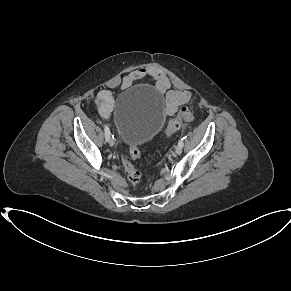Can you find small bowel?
Returning a JSON list of instances; mask_svg holds the SVG:
<instances>
[{"instance_id": "c3829d8e", "label": "small bowel", "mask_w": 291, "mask_h": 291, "mask_svg": "<svg viewBox=\"0 0 291 291\" xmlns=\"http://www.w3.org/2000/svg\"><path fill=\"white\" fill-rule=\"evenodd\" d=\"M149 77L155 81L156 90L160 94H165V114L173 115L178 107L191 98V94L186 90L172 91L170 88L169 79L155 67H145L136 69L125 75L121 82V88L126 89L138 80ZM98 112L102 119L108 120L111 116L114 99L109 90H101L95 100Z\"/></svg>"}]
</instances>
